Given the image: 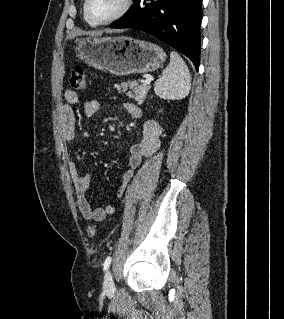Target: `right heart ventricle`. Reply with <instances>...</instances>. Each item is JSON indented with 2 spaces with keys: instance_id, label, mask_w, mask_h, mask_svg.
I'll use <instances>...</instances> for the list:
<instances>
[{
  "instance_id": "right-heart-ventricle-1",
  "label": "right heart ventricle",
  "mask_w": 284,
  "mask_h": 319,
  "mask_svg": "<svg viewBox=\"0 0 284 319\" xmlns=\"http://www.w3.org/2000/svg\"><path fill=\"white\" fill-rule=\"evenodd\" d=\"M84 19H85V21H86L88 24H90L91 26H93V25L85 18V16H84Z\"/></svg>"
}]
</instances>
